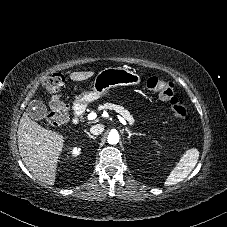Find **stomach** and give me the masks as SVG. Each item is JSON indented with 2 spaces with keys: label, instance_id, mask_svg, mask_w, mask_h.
I'll return each mask as SVG.
<instances>
[{
  "label": "stomach",
  "instance_id": "0dacf381",
  "mask_svg": "<svg viewBox=\"0 0 227 227\" xmlns=\"http://www.w3.org/2000/svg\"><path fill=\"white\" fill-rule=\"evenodd\" d=\"M141 77L125 67H109L101 70L95 77L93 91H85L75 99L76 104H88L104 96L111 88L117 86H136Z\"/></svg>",
  "mask_w": 227,
  "mask_h": 227
}]
</instances>
